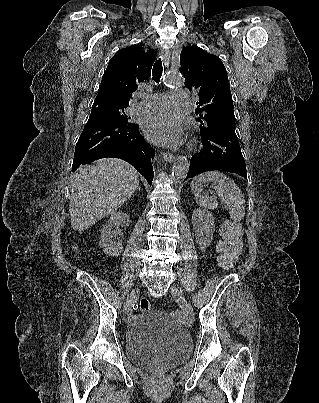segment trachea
<instances>
[{
  "label": "trachea",
  "mask_w": 319,
  "mask_h": 403,
  "mask_svg": "<svg viewBox=\"0 0 319 403\" xmlns=\"http://www.w3.org/2000/svg\"><path fill=\"white\" fill-rule=\"evenodd\" d=\"M162 72H163V66H162V61L161 59H158L154 66H153V70H152V76H153V80L156 83H159L160 78L162 76Z\"/></svg>",
  "instance_id": "trachea-1"
}]
</instances>
